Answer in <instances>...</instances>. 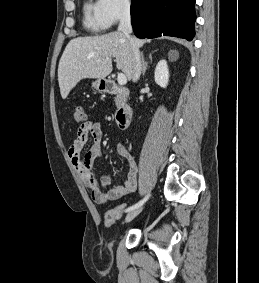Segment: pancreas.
<instances>
[{
  "label": "pancreas",
  "instance_id": "pancreas-1",
  "mask_svg": "<svg viewBox=\"0 0 259 283\" xmlns=\"http://www.w3.org/2000/svg\"><path fill=\"white\" fill-rule=\"evenodd\" d=\"M115 102H116L117 107L120 106L122 103V97L120 95H117L115 97Z\"/></svg>",
  "mask_w": 259,
  "mask_h": 283
}]
</instances>
